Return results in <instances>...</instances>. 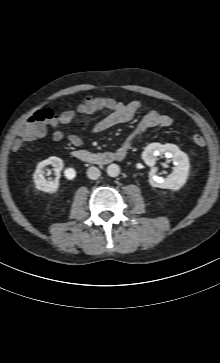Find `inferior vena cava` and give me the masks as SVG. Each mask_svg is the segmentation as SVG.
I'll return each mask as SVG.
<instances>
[{
	"label": "inferior vena cava",
	"instance_id": "obj_1",
	"mask_svg": "<svg viewBox=\"0 0 220 363\" xmlns=\"http://www.w3.org/2000/svg\"><path fill=\"white\" fill-rule=\"evenodd\" d=\"M100 174V170L95 166H91L87 169V176L89 179L96 180L99 178Z\"/></svg>",
	"mask_w": 220,
	"mask_h": 363
}]
</instances>
